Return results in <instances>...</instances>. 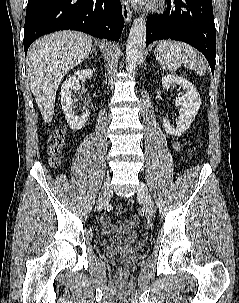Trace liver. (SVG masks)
<instances>
[{"label": "liver", "instance_id": "obj_1", "mask_svg": "<svg viewBox=\"0 0 239 303\" xmlns=\"http://www.w3.org/2000/svg\"><path fill=\"white\" fill-rule=\"evenodd\" d=\"M93 38L77 31H59L37 39L27 53L30 89L44 122L53 119L56 91L71 69L90 54Z\"/></svg>", "mask_w": 239, "mask_h": 303}]
</instances>
